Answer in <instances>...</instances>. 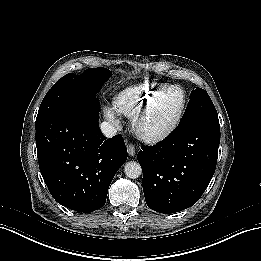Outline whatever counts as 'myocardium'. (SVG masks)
<instances>
[{
    "label": "myocardium",
    "mask_w": 261,
    "mask_h": 261,
    "mask_svg": "<svg viewBox=\"0 0 261 261\" xmlns=\"http://www.w3.org/2000/svg\"><path fill=\"white\" fill-rule=\"evenodd\" d=\"M184 97L183 95H180V101H179V105L177 107V110L176 112L174 113V115L170 118V120L168 121L169 123L165 124V128L168 129V128H171V126H174V124L177 122V120L180 118V115L182 113V110H183V107H184ZM153 102V99L150 100L149 102V105L148 106H152V103ZM136 121V116L134 115V118H133V122Z\"/></svg>",
    "instance_id": "obj_1"
}]
</instances>
